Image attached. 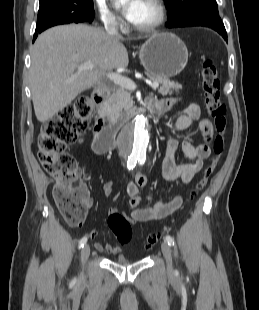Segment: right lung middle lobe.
<instances>
[{"label":"right lung middle lobe","mask_w":259,"mask_h":310,"mask_svg":"<svg viewBox=\"0 0 259 310\" xmlns=\"http://www.w3.org/2000/svg\"><path fill=\"white\" fill-rule=\"evenodd\" d=\"M36 30L54 20L79 22L94 15L92 0H39Z\"/></svg>","instance_id":"1"}]
</instances>
